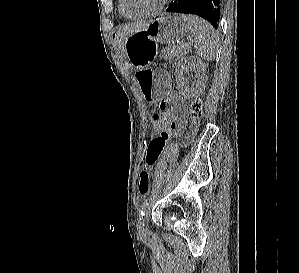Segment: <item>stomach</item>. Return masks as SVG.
<instances>
[{"instance_id": "1", "label": "stomach", "mask_w": 299, "mask_h": 273, "mask_svg": "<svg viewBox=\"0 0 299 273\" xmlns=\"http://www.w3.org/2000/svg\"><path fill=\"white\" fill-rule=\"evenodd\" d=\"M187 23L183 15L170 14L158 17L143 31L131 34L125 41L128 64L134 66L138 88L144 101H167L164 94L169 88V76L163 70H154L153 61L159 43H173L186 35Z\"/></svg>"}]
</instances>
